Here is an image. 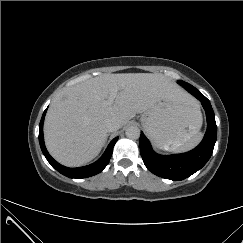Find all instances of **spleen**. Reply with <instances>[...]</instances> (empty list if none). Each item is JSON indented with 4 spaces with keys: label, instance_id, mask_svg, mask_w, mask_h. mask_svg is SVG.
<instances>
[{
    "label": "spleen",
    "instance_id": "obj_1",
    "mask_svg": "<svg viewBox=\"0 0 243 243\" xmlns=\"http://www.w3.org/2000/svg\"><path fill=\"white\" fill-rule=\"evenodd\" d=\"M202 139V133L197 132L193 137L183 144H175L171 150L175 152H185L194 148Z\"/></svg>",
    "mask_w": 243,
    "mask_h": 243
}]
</instances>
